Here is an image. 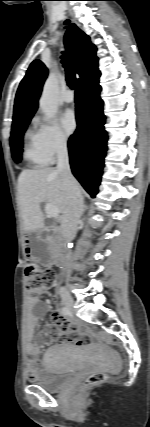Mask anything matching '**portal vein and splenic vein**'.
Instances as JSON below:
<instances>
[{"label": "portal vein and splenic vein", "instance_id": "1", "mask_svg": "<svg viewBox=\"0 0 150 427\" xmlns=\"http://www.w3.org/2000/svg\"><path fill=\"white\" fill-rule=\"evenodd\" d=\"M45 211L48 214V216L51 218L58 217L60 213L59 209L51 204H46Z\"/></svg>", "mask_w": 150, "mask_h": 427}]
</instances>
